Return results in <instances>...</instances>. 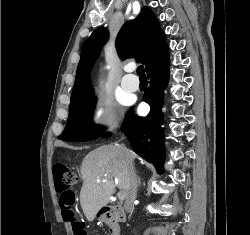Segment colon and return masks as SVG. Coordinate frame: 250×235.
Masks as SVG:
<instances>
[{
    "label": "colon",
    "instance_id": "colon-1",
    "mask_svg": "<svg viewBox=\"0 0 250 235\" xmlns=\"http://www.w3.org/2000/svg\"><path fill=\"white\" fill-rule=\"evenodd\" d=\"M55 187L60 193L59 203L63 219L68 222L73 235H87L85 225L81 222L74 210L75 195L72 188L78 182L76 172L64 163H57L53 168Z\"/></svg>",
    "mask_w": 250,
    "mask_h": 235
}]
</instances>
